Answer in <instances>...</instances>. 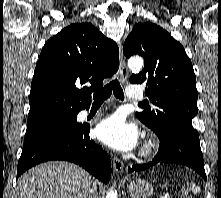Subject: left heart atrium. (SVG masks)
I'll return each mask as SVG.
<instances>
[{
    "label": "left heart atrium",
    "instance_id": "left-heart-atrium-1",
    "mask_svg": "<svg viewBox=\"0 0 221 198\" xmlns=\"http://www.w3.org/2000/svg\"><path fill=\"white\" fill-rule=\"evenodd\" d=\"M96 137L117 151L132 150L138 142V130L134 124L126 122L116 114L102 120L95 129Z\"/></svg>",
    "mask_w": 221,
    "mask_h": 198
}]
</instances>
